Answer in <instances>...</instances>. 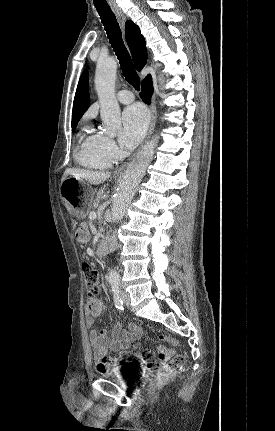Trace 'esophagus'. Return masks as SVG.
<instances>
[{
    "mask_svg": "<svg viewBox=\"0 0 275 431\" xmlns=\"http://www.w3.org/2000/svg\"><path fill=\"white\" fill-rule=\"evenodd\" d=\"M113 11H114V13H115L120 25H121V28L124 30V26H125V23L127 20L125 14L122 12V10L120 8H113ZM149 109H150V113H151V120H150V126H149V130H148L145 142L152 135L155 124H156L157 112H156V106H155L153 98L151 99V102L149 104ZM134 155L135 154H133L127 161H125L121 166H119L114 171V175H116V176L122 175L123 172L125 171L126 167L128 166L130 160L134 157Z\"/></svg>",
    "mask_w": 275,
    "mask_h": 431,
    "instance_id": "1",
    "label": "esophagus"
}]
</instances>
